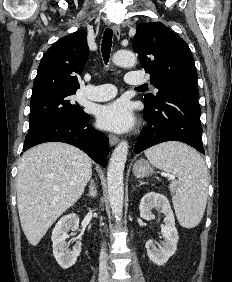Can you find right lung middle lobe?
<instances>
[{
  "label": "right lung middle lobe",
  "instance_id": "obj_1",
  "mask_svg": "<svg viewBox=\"0 0 232 282\" xmlns=\"http://www.w3.org/2000/svg\"><path fill=\"white\" fill-rule=\"evenodd\" d=\"M76 91L43 89L32 92L29 130H34L60 118H83L87 114L71 101Z\"/></svg>",
  "mask_w": 232,
  "mask_h": 282
}]
</instances>
